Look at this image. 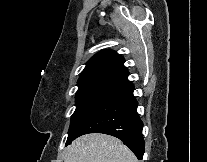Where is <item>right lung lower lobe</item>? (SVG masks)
<instances>
[{
    "mask_svg": "<svg viewBox=\"0 0 207 162\" xmlns=\"http://www.w3.org/2000/svg\"><path fill=\"white\" fill-rule=\"evenodd\" d=\"M133 90L129 81L116 88L83 120L66 145L87 133H104L122 140L141 160L145 150L143 123L137 114Z\"/></svg>",
    "mask_w": 207,
    "mask_h": 162,
    "instance_id": "obj_1",
    "label": "right lung lower lobe"
}]
</instances>
